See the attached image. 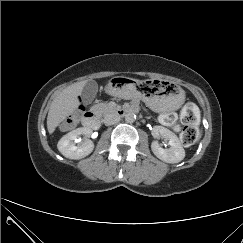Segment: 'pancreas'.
I'll list each match as a JSON object with an SVG mask.
<instances>
[{
    "label": "pancreas",
    "instance_id": "1",
    "mask_svg": "<svg viewBox=\"0 0 243 243\" xmlns=\"http://www.w3.org/2000/svg\"><path fill=\"white\" fill-rule=\"evenodd\" d=\"M97 107H102V108H106V107H107V104H105V103H102V104L98 105Z\"/></svg>",
    "mask_w": 243,
    "mask_h": 243
}]
</instances>
